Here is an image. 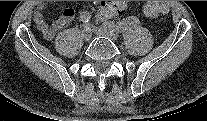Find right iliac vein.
Instances as JSON below:
<instances>
[{
    "mask_svg": "<svg viewBox=\"0 0 207 121\" xmlns=\"http://www.w3.org/2000/svg\"><path fill=\"white\" fill-rule=\"evenodd\" d=\"M83 39L86 41V42H89L92 38V34H91V30L89 28H85L84 27V30H83Z\"/></svg>",
    "mask_w": 207,
    "mask_h": 121,
    "instance_id": "63e3f726",
    "label": "right iliac vein"
}]
</instances>
